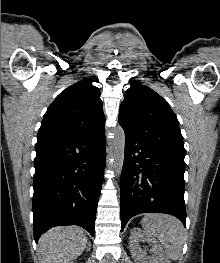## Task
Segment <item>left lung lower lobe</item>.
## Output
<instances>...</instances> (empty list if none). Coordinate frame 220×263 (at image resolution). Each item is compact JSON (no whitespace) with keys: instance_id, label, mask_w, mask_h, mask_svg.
<instances>
[{"instance_id":"obj_1","label":"left lung lower lobe","mask_w":220,"mask_h":263,"mask_svg":"<svg viewBox=\"0 0 220 263\" xmlns=\"http://www.w3.org/2000/svg\"><path fill=\"white\" fill-rule=\"evenodd\" d=\"M184 158L125 132L121 176V231L140 213H166L186 225Z\"/></svg>"}]
</instances>
